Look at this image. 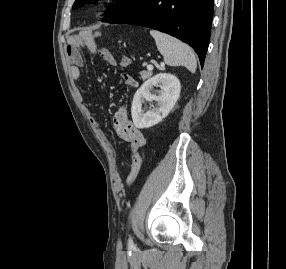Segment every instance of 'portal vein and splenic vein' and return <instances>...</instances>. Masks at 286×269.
Instances as JSON below:
<instances>
[{
	"instance_id": "portal-vein-and-splenic-vein-1",
	"label": "portal vein and splenic vein",
	"mask_w": 286,
	"mask_h": 269,
	"mask_svg": "<svg viewBox=\"0 0 286 269\" xmlns=\"http://www.w3.org/2000/svg\"><path fill=\"white\" fill-rule=\"evenodd\" d=\"M147 69H148L149 71H152V70H153V65H151V64L147 65Z\"/></svg>"
}]
</instances>
